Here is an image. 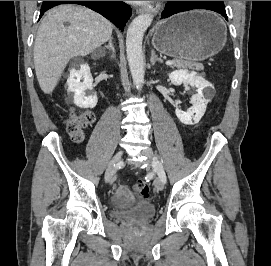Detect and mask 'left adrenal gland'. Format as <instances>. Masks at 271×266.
<instances>
[{
  "instance_id": "1",
  "label": "left adrenal gland",
  "mask_w": 271,
  "mask_h": 266,
  "mask_svg": "<svg viewBox=\"0 0 271 266\" xmlns=\"http://www.w3.org/2000/svg\"><path fill=\"white\" fill-rule=\"evenodd\" d=\"M156 62L163 63V60L157 57L154 50H151L150 63L154 66Z\"/></svg>"
}]
</instances>
